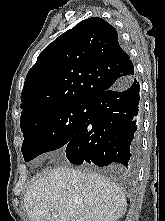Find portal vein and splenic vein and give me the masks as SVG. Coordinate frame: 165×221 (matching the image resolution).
<instances>
[{"label":"portal vein and splenic vein","mask_w":165,"mask_h":221,"mask_svg":"<svg viewBox=\"0 0 165 221\" xmlns=\"http://www.w3.org/2000/svg\"><path fill=\"white\" fill-rule=\"evenodd\" d=\"M52 216H53V217H56V215H54V214H53Z\"/></svg>","instance_id":"1"}]
</instances>
